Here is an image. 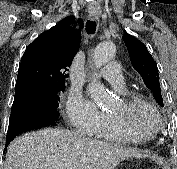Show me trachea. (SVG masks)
<instances>
[{
  "label": "trachea",
  "instance_id": "obj_1",
  "mask_svg": "<svg viewBox=\"0 0 177 169\" xmlns=\"http://www.w3.org/2000/svg\"><path fill=\"white\" fill-rule=\"evenodd\" d=\"M95 30H96V22L88 20L86 22V31H87V33L92 35V34L95 33Z\"/></svg>",
  "mask_w": 177,
  "mask_h": 169
}]
</instances>
